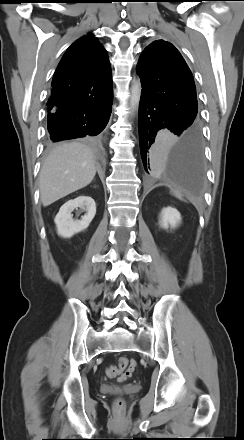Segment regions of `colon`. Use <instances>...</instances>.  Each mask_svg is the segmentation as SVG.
<instances>
[{
	"instance_id": "1",
	"label": "colon",
	"mask_w": 244,
	"mask_h": 440,
	"mask_svg": "<svg viewBox=\"0 0 244 440\" xmlns=\"http://www.w3.org/2000/svg\"><path fill=\"white\" fill-rule=\"evenodd\" d=\"M137 363L134 359L121 357L116 365H111L107 368V375L110 378H118L119 381H124L129 378L134 372ZM124 402L121 398L116 399L115 405L118 408L123 406Z\"/></svg>"
}]
</instances>
